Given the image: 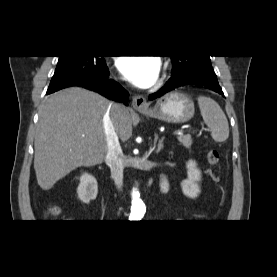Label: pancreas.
<instances>
[{"label": "pancreas", "instance_id": "cf45deb5", "mask_svg": "<svg viewBox=\"0 0 277 277\" xmlns=\"http://www.w3.org/2000/svg\"><path fill=\"white\" fill-rule=\"evenodd\" d=\"M178 141L186 148H189L192 145V139L189 134L179 136Z\"/></svg>", "mask_w": 277, "mask_h": 277}]
</instances>
